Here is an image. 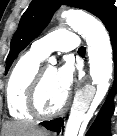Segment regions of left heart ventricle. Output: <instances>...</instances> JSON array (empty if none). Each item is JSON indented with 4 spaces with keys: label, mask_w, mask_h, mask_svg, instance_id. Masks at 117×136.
I'll use <instances>...</instances> for the list:
<instances>
[{
    "label": "left heart ventricle",
    "mask_w": 117,
    "mask_h": 136,
    "mask_svg": "<svg viewBox=\"0 0 117 136\" xmlns=\"http://www.w3.org/2000/svg\"><path fill=\"white\" fill-rule=\"evenodd\" d=\"M66 93L60 89L56 81V69L47 67L43 85L39 93L40 107L45 112H52L58 109L64 99Z\"/></svg>",
    "instance_id": "b2bd125f"
}]
</instances>
